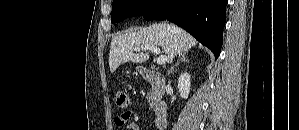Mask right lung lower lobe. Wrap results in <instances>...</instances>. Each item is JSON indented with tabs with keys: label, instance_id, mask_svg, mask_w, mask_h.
Listing matches in <instances>:
<instances>
[{
	"label": "right lung lower lobe",
	"instance_id": "right-lung-lower-lobe-1",
	"mask_svg": "<svg viewBox=\"0 0 299 130\" xmlns=\"http://www.w3.org/2000/svg\"><path fill=\"white\" fill-rule=\"evenodd\" d=\"M228 0H158L144 15L146 20H164L185 29L209 48L215 58L222 47Z\"/></svg>",
	"mask_w": 299,
	"mask_h": 130
}]
</instances>
